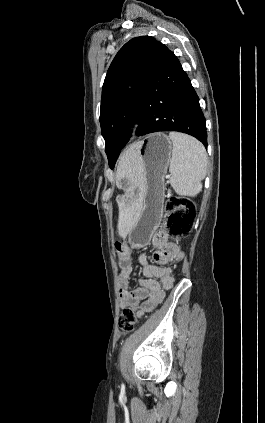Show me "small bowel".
Masks as SVG:
<instances>
[{"instance_id":"1","label":"small bowel","mask_w":265,"mask_h":423,"mask_svg":"<svg viewBox=\"0 0 265 423\" xmlns=\"http://www.w3.org/2000/svg\"><path fill=\"white\" fill-rule=\"evenodd\" d=\"M151 243L156 248L152 255L153 263L148 262L145 255L139 257L144 278L138 280V288H129L133 271L130 252L126 261L119 260L120 308L135 310L139 318L155 309L164 300L166 290L172 288L174 277L171 269L166 265L169 262H180L185 257V253L177 244L168 242L166 233L161 229L154 233Z\"/></svg>"}]
</instances>
